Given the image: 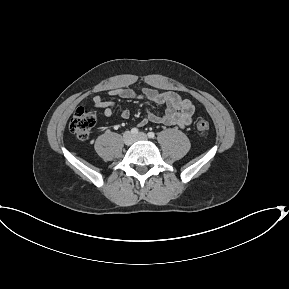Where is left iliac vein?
Instances as JSON below:
<instances>
[{
    "label": "left iliac vein",
    "instance_id": "obj_1",
    "mask_svg": "<svg viewBox=\"0 0 289 289\" xmlns=\"http://www.w3.org/2000/svg\"><path fill=\"white\" fill-rule=\"evenodd\" d=\"M148 137L145 133L140 132L136 136H134V140H147Z\"/></svg>",
    "mask_w": 289,
    "mask_h": 289
}]
</instances>
